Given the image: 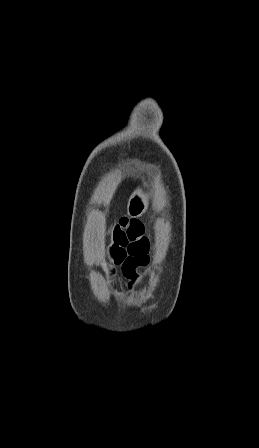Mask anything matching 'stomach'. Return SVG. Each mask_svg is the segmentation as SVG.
<instances>
[{
  "label": "stomach",
  "instance_id": "stomach-1",
  "mask_svg": "<svg viewBox=\"0 0 259 448\" xmlns=\"http://www.w3.org/2000/svg\"><path fill=\"white\" fill-rule=\"evenodd\" d=\"M149 204L148 194H144L142 190H135L129 198L127 204V214L130 218H139L145 214Z\"/></svg>",
  "mask_w": 259,
  "mask_h": 448
}]
</instances>
